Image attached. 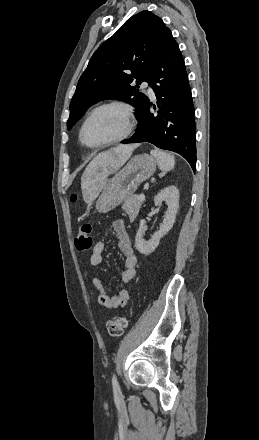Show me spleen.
<instances>
[{
  "mask_svg": "<svg viewBox=\"0 0 259 440\" xmlns=\"http://www.w3.org/2000/svg\"><path fill=\"white\" fill-rule=\"evenodd\" d=\"M150 153L156 158L161 171L168 172L174 168L175 159L171 154L159 149L151 150Z\"/></svg>",
  "mask_w": 259,
  "mask_h": 440,
  "instance_id": "spleen-1",
  "label": "spleen"
}]
</instances>
